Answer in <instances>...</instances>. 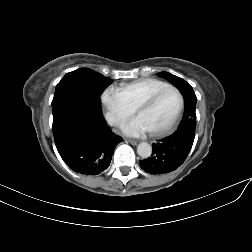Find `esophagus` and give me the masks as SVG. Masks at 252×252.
<instances>
[{
    "instance_id": "esophagus-1",
    "label": "esophagus",
    "mask_w": 252,
    "mask_h": 252,
    "mask_svg": "<svg viewBox=\"0 0 252 252\" xmlns=\"http://www.w3.org/2000/svg\"><path fill=\"white\" fill-rule=\"evenodd\" d=\"M128 143L136 145L138 142L136 140H127Z\"/></svg>"
}]
</instances>
